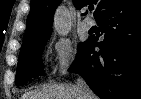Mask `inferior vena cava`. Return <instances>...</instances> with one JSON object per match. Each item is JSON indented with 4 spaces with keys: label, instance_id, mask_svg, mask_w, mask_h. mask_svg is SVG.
<instances>
[{
    "label": "inferior vena cava",
    "instance_id": "obj_1",
    "mask_svg": "<svg viewBox=\"0 0 141 99\" xmlns=\"http://www.w3.org/2000/svg\"><path fill=\"white\" fill-rule=\"evenodd\" d=\"M77 88L82 96V99H94V94L82 77L77 78Z\"/></svg>",
    "mask_w": 141,
    "mask_h": 99
}]
</instances>
